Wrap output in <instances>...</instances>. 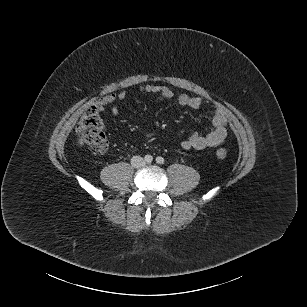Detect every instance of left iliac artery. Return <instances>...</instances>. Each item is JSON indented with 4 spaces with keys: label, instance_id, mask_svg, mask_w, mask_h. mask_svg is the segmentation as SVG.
Masks as SVG:
<instances>
[{
    "label": "left iliac artery",
    "instance_id": "1",
    "mask_svg": "<svg viewBox=\"0 0 307 307\" xmlns=\"http://www.w3.org/2000/svg\"><path fill=\"white\" fill-rule=\"evenodd\" d=\"M156 163H158V164H163V163H164V158L161 157V156H158V157L156 158Z\"/></svg>",
    "mask_w": 307,
    "mask_h": 307
}]
</instances>
